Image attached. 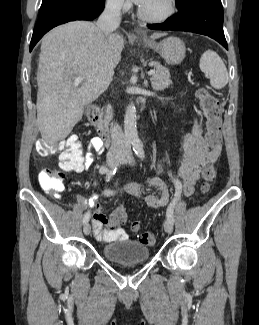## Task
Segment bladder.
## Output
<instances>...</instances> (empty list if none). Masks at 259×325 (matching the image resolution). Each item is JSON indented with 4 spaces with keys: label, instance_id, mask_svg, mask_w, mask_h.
Masks as SVG:
<instances>
[{
    "label": "bladder",
    "instance_id": "obj_1",
    "mask_svg": "<svg viewBox=\"0 0 259 325\" xmlns=\"http://www.w3.org/2000/svg\"><path fill=\"white\" fill-rule=\"evenodd\" d=\"M103 256L116 264H137L148 260L150 252L147 245L135 240H121L103 247Z\"/></svg>",
    "mask_w": 259,
    "mask_h": 325
}]
</instances>
